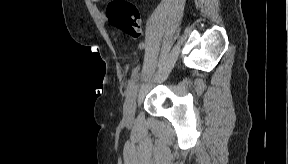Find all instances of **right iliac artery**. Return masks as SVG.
Wrapping results in <instances>:
<instances>
[{
  "label": "right iliac artery",
  "instance_id": "obj_1",
  "mask_svg": "<svg viewBox=\"0 0 288 164\" xmlns=\"http://www.w3.org/2000/svg\"><path fill=\"white\" fill-rule=\"evenodd\" d=\"M145 47V44L144 43H140L138 48L139 49H143ZM137 76H138V68H134L133 72H132V76H131V79L128 83V86H127V90H126V97L128 98L134 85H135V82H136V79H137Z\"/></svg>",
  "mask_w": 288,
  "mask_h": 164
}]
</instances>
